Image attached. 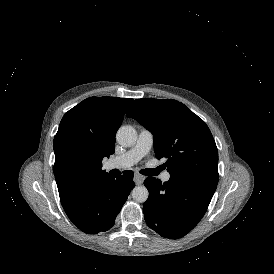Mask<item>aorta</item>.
I'll return each mask as SVG.
<instances>
[{"instance_id":"aorta-1","label":"aorta","mask_w":274,"mask_h":274,"mask_svg":"<svg viewBox=\"0 0 274 274\" xmlns=\"http://www.w3.org/2000/svg\"><path fill=\"white\" fill-rule=\"evenodd\" d=\"M116 140L123 147L133 146L137 140V132L132 126H122L117 131ZM131 194L133 199L140 203L145 202L149 197L145 186H136Z\"/></svg>"}]
</instances>
